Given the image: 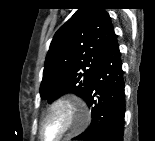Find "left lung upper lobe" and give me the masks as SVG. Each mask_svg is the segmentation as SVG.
<instances>
[{
    "label": "left lung upper lobe",
    "instance_id": "5c2ea615",
    "mask_svg": "<svg viewBox=\"0 0 155 141\" xmlns=\"http://www.w3.org/2000/svg\"><path fill=\"white\" fill-rule=\"evenodd\" d=\"M78 6L55 33L45 60L40 95L49 103L67 92L85 97L100 59L115 36L102 0H82Z\"/></svg>",
    "mask_w": 155,
    "mask_h": 141
}]
</instances>
